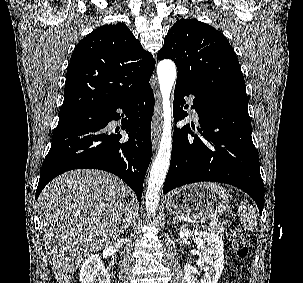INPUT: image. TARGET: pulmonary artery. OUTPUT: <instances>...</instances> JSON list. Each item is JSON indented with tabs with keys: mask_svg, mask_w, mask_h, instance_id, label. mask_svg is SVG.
Here are the masks:
<instances>
[{
	"mask_svg": "<svg viewBox=\"0 0 303 283\" xmlns=\"http://www.w3.org/2000/svg\"><path fill=\"white\" fill-rule=\"evenodd\" d=\"M189 102H190V104H191V100H190V99H189ZM191 112H192V114H193V116H194L195 118H198V115H197V113H196V111H195L194 108L191 109Z\"/></svg>",
	"mask_w": 303,
	"mask_h": 283,
	"instance_id": "pulmonary-artery-1",
	"label": "pulmonary artery"
}]
</instances>
